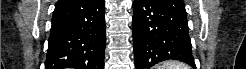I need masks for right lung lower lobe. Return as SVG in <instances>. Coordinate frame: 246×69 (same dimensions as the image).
<instances>
[{"mask_svg":"<svg viewBox=\"0 0 246 69\" xmlns=\"http://www.w3.org/2000/svg\"><path fill=\"white\" fill-rule=\"evenodd\" d=\"M104 0H59L55 5L45 69H103Z\"/></svg>","mask_w":246,"mask_h":69,"instance_id":"right-lung-lower-lobe-1","label":"right lung lower lobe"}]
</instances>
